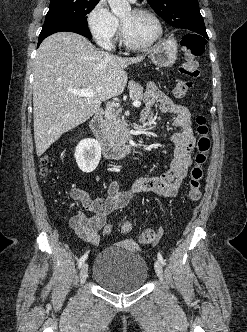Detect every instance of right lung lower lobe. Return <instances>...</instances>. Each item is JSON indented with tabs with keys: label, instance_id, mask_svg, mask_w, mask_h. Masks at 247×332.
I'll use <instances>...</instances> for the list:
<instances>
[{
	"label": "right lung lower lobe",
	"instance_id": "right-lung-lower-lobe-1",
	"mask_svg": "<svg viewBox=\"0 0 247 332\" xmlns=\"http://www.w3.org/2000/svg\"><path fill=\"white\" fill-rule=\"evenodd\" d=\"M62 31L74 32L83 35L87 38H91L88 26L80 22L73 20H66V19L48 20L44 22V25L40 32L38 38V46L49 35Z\"/></svg>",
	"mask_w": 247,
	"mask_h": 332
}]
</instances>
